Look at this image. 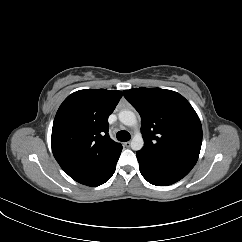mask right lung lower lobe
Listing matches in <instances>:
<instances>
[{"label": "right lung lower lobe", "mask_w": 242, "mask_h": 242, "mask_svg": "<svg viewBox=\"0 0 242 242\" xmlns=\"http://www.w3.org/2000/svg\"><path fill=\"white\" fill-rule=\"evenodd\" d=\"M121 150L104 160L87 176L81 178L77 182L88 186H99L108 181L115 172L116 163L120 157Z\"/></svg>", "instance_id": "right-lung-lower-lobe-1"}]
</instances>
